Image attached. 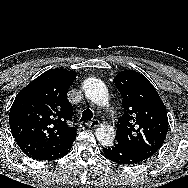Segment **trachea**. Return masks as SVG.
<instances>
[{
	"instance_id": "1",
	"label": "trachea",
	"mask_w": 188,
	"mask_h": 188,
	"mask_svg": "<svg viewBox=\"0 0 188 188\" xmlns=\"http://www.w3.org/2000/svg\"><path fill=\"white\" fill-rule=\"evenodd\" d=\"M93 117V112L90 109L84 110L80 121H90Z\"/></svg>"
}]
</instances>
